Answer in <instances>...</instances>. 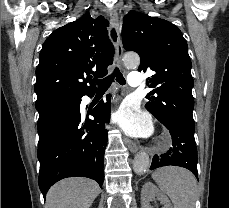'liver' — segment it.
<instances>
[{
  "label": "liver",
  "instance_id": "obj_1",
  "mask_svg": "<svg viewBox=\"0 0 229 208\" xmlns=\"http://www.w3.org/2000/svg\"><path fill=\"white\" fill-rule=\"evenodd\" d=\"M100 188L86 178H66L54 184L46 196V208H90Z\"/></svg>",
  "mask_w": 229,
  "mask_h": 208
}]
</instances>
